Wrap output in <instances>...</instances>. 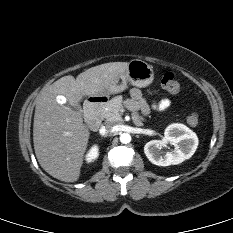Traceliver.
Instances as JSON below:
<instances>
[{"instance_id":"liver-1","label":"liver","mask_w":233,"mask_h":233,"mask_svg":"<svg viewBox=\"0 0 233 233\" xmlns=\"http://www.w3.org/2000/svg\"><path fill=\"white\" fill-rule=\"evenodd\" d=\"M128 62H110L85 70L75 79L64 76L44 87L36 98L33 143L40 166L52 177L79 179L90 132L82 115L72 109L84 96H98L125 72ZM57 95L67 99L59 104Z\"/></svg>"}]
</instances>
